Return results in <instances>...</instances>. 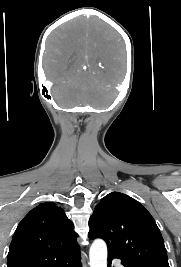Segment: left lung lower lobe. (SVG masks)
<instances>
[{"label": "left lung lower lobe", "mask_w": 181, "mask_h": 267, "mask_svg": "<svg viewBox=\"0 0 181 267\" xmlns=\"http://www.w3.org/2000/svg\"><path fill=\"white\" fill-rule=\"evenodd\" d=\"M114 258H119L120 259V257L115 252L108 250V267H111V261ZM121 263L124 265V267H137V266L125 263L124 261H122Z\"/></svg>", "instance_id": "obj_1"}]
</instances>
